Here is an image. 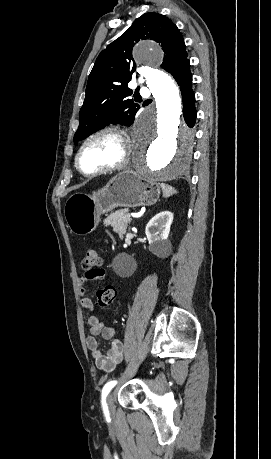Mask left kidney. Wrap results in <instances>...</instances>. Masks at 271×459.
<instances>
[{
    "label": "left kidney",
    "mask_w": 271,
    "mask_h": 459,
    "mask_svg": "<svg viewBox=\"0 0 271 459\" xmlns=\"http://www.w3.org/2000/svg\"><path fill=\"white\" fill-rule=\"evenodd\" d=\"M173 222V214L171 212H159L150 222H148L145 233L149 241V249L153 253H162L170 247L171 243L167 237L169 235L170 226Z\"/></svg>",
    "instance_id": "1"
}]
</instances>
